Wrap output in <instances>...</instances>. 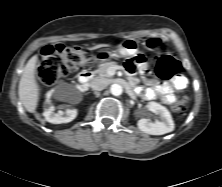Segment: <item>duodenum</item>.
I'll return each mask as SVG.
<instances>
[{
  "mask_svg": "<svg viewBox=\"0 0 222 187\" xmlns=\"http://www.w3.org/2000/svg\"><path fill=\"white\" fill-rule=\"evenodd\" d=\"M92 78V72L91 71H83L80 75H79V82L81 83L82 86L87 85V83L90 81V79Z\"/></svg>",
  "mask_w": 222,
  "mask_h": 187,
  "instance_id": "duodenum-1",
  "label": "duodenum"
}]
</instances>
